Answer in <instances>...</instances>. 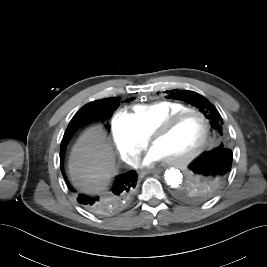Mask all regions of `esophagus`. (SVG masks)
Instances as JSON below:
<instances>
[{
  "label": "esophagus",
  "mask_w": 267,
  "mask_h": 267,
  "mask_svg": "<svg viewBox=\"0 0 267 267\" xmlns=\"http://www.w3.org/2000/svg\"><path fill=\"white\" fill-rule=\"evenodd\" d=\"M151 172H154V170H149L147 172L142 171L140 172V176H144L146 173H151Z\"/></svg>",
  "instance_id": "esophagus-1"
}]
</instances>
